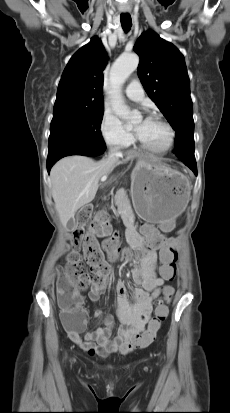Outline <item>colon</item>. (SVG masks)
<instances>
[{"label": "colon", "mask_w": 230, "mask_h": 413, "mask_svg": "<svg viewBox=\"0 0 230 413\" xmlns=\"http://www.w3.org/2000/svg\"><path fill=\"white\" fill-rule=\"evenodd\" d=\"M77 225L73 231L70 244L73 250L67 256L58 278V301L60 306L67 312H73L74 319H81V312L78 309V298L74 290L86 289L89 286H101L104 277L109 271L105 254L119 253V235L114 233L100 246L96 236L102 234L109 224V218L104 211L94 213L91 206L81 208L76 215ZM160 240H158L159 242ZM83 251V260L78 252ZM178 255V241L168 240L160 252L161 265L157 267V272L167 281H173L176 276V261ZM124 256L128 258L129 253ZM84 262L90 267V271L85 269ZM172 295L168 294L159 302L154 317L150 320L147 330L138 338L130 341L125 351L145 347L155 338L161 322L168 315L167 304Z\"/></svg>", "instance_id": "5ec220e1"}]
</instances>
